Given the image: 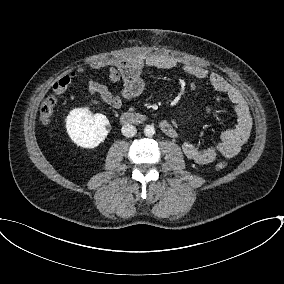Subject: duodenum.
I'll list each match as a JSON object with an SVG mask.
<instances>
[{"mask_svg": "<svg viewBox=\"0 0 284 284\" xmlns=\"http://www.w3.org/2000/svg\"><path fill=\"white\" fill-rule=\"evenodd\" d=\"M121 121L125 125H139L149 121V117L142 113L126 112L121 116ZM159 127L167 136L173 137L176 135L174 126L167 120L161 121Z\"/></svg>", "mask_w": 284, "mask_h": 284, "instance_id": "duodenum-1", "label": "duodenum"}]
</instances>
